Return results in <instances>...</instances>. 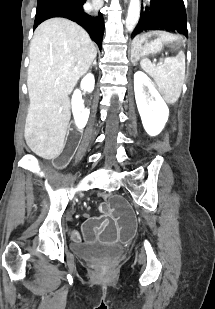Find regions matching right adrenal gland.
<instances>
[{"label": "right adrenal gland", "instance_id": "1", "mask_svg": "<svg viewBox=\"0 0 215 309\" xmlns=\"http://www.w3.org/2000/svg\"><path fill=\"white\" fill-rule=\"evenodd\" d=\"M92 64H97L96 60H94V62H92ZM90 68H91V66H90Z\"/></svg>", "mask_w": 215, "mask_h": 309}]
</instances>
